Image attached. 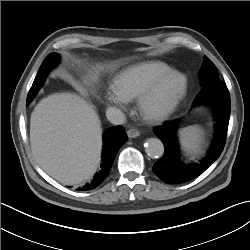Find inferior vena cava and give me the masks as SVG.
<instances>
[{
	"mask_svg": "<svg viewBox=\"0 0 250 250\" xmlns=\"http://www.w3.org/2000/svg\"><path fill=\"white\" fill-rule=\"evenodd\" d=\"M106 117L114 125H121L125 122L124 113L115 107L107 108Z\"/></svg>",
	"mask_w": 250,
	"mask_h": 250,
	"instance_id": "602c4592",
	"label": "inferior vena cava"
}]
</instances>
